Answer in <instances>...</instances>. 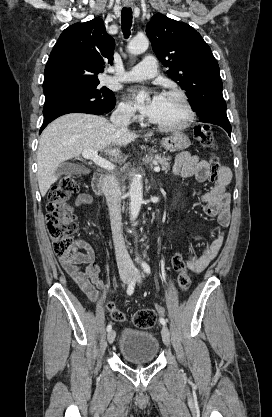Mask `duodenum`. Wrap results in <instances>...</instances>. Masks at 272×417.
Segmentation results:
<instances>
[{"label": "duodenum", "instance_id": "duodenum-1", "mask_svg": "<svg viewBox=\"0 0 272 417\" xmlns=\"http://www.w3.org/2000/svg\"><path fill=\"white\" fill-rule=\"evenodd\" d=\"M103 175L96 172L92 178V189L96 194L102 193Z\"/></svg>", "mask_w": 272, "mask_h": 417}]
</instances>
